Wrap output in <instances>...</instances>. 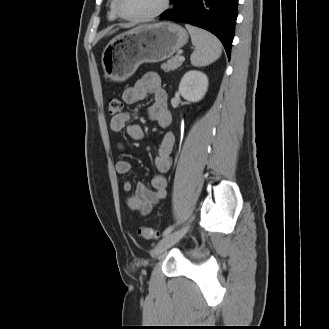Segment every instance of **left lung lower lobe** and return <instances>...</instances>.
<instances>
[{
    "label": "left lung lower lobe",
    "instance_id": "obj_1",
    "mask_svg": "<svg viewBox=\"0 0 329 329\" xmlns=\"http://www.w3.org/2000/svg\"><path fill=\"white\" fill-rule=\"evenodd\" d=\"M175 6L160 20L185 22L216 35L230 59L237 19L238 0H171Z\"/></svg>",
    "mask_w": 329,
    "mask_h": 329
}]
</instances>
